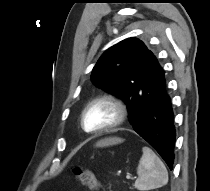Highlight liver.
<instances>
[{"instance_id":"liver-1","label":"liver","mask_w":210,"mask_h":191,"mask_svg":"<svg viewBox=\"0 0 210 191\" xmlns=\"http://www.w3.org/2000/svg\"><path fill=\"white\" fill-rule=\"evenodd\" d=\"M124 140L118 137L105 138L96 143V147H107L122 143Z\"/></svg>"}]
</instances>
